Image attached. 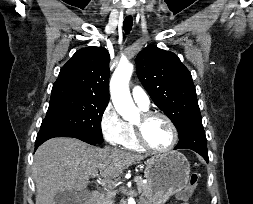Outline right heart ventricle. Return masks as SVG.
Returning <instances> with one entry per match:
<instances>
[{"label":"right heart ventricle","mask_w":253,"mask_h":204,"mask_svg":"<svg viewBox=\"0 0 253 204\" xmlns=\"http://www.w3.org/2000/svg\"><path fill=\"white\" fill-rule=\"evenodd\" d=\"M127 125H128V132L126 138L122 143L123 147L132 152H142L144 149L139 145L137 141L133 124Z\"/></svg>","instance_id":"1"}]
</instances>
